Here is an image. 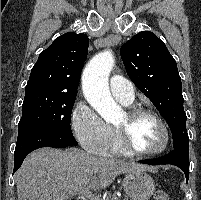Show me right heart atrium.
Instances as JSON below:
<instances>
[{
    "label": "right heart atrium",
    "instance_id": "1",
    "mask_svg": "<svg viewBox=\"0 0 201 200\" xmlns=\"http://www.w3.org/2000/svg\"><path fill=\"white\" fill-rule=\"evenodd\" d=\"M71 125L76 139L86 151L95 155L107 153L111 128L87 102L77 103L72 112Z\"/></svg>",
    "mask_w": 201,
    "mask_h": 200
}]
</instances>
